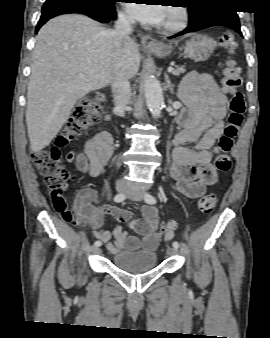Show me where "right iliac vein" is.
Here are the masks:
<instances>
[{"instance_id":"right-iliac-vein-1","label":"right iliac vein","mask_w":270,"mask_h":338,"mask_svg":"<svg viewBox=\"0 0 270 338\" xmlns=\"http://www.w3.org/2000/svg\"><path fill=\"white\" fill-rule=\"evenodd\" d=\"M128 190V186L122 183L117 184L116 186V191L118 193H125ZM93 252L95 254L100 253V248L99 247H93Z\"/></svg>"}]
</instances>
